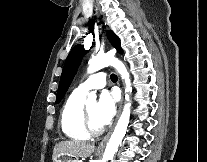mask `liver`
Here are the masks:
<instances>
[{
    "mask_svg": "<svg viewBox=\"0 0 207 162\" xmlns=\"http://www.w3.org/2000/svg\"><path fill=\"white\" fill-rule=\"evenodd\" d=\"M95 150V145L93 143H86L76 140H66L61 141L56 144L53 148L52 158L58 157L60 155H67L75 158L85 159L89 157Z\"/></svg>",
    "mask_w": 207,
    "mask_h": 162,
    "instance_id": "obj_1",
    "label": "liver"
}]
</instances>
